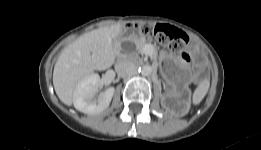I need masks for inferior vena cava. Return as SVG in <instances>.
Wrapping results in <instances>:
<instances>
[{
  "instance_id": "1",
  "label": "inferior vena cava",
  "mask_w": 261,
  "mask_h": 150,
  "mask_svg": "<svg viewBox=\"0 0 261 150\" xmlns=\"http://www.w3.org/2000/svg\"><path fill=\"white\" fill-rule=\"evenodd\" d=\"M137 70V67L127 61H120L115 65L116 73L121 77H128L133 75Z\"/></svg>"
}]
</instances>
